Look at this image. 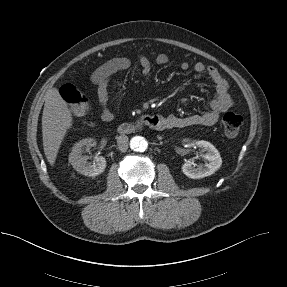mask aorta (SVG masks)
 I'll list each match as a JSON object with an SVG mask.
<instances>
[{
  "label": "aorta",
  "instance_id": "obj_1",
  "mask_svg": "<svg viewBox=\"0 0 287 287\" xmlns=\"http://www.w3.org/2000/svg\"><path fill=\"white\" fill-rule=\"evenodd\" d=\"M130 147L134 151L144 152L148 147V143L144 137L135 136L130 141Z\"/></svg>",
  "mask_w": 287,
  "mask_h": 287
}]
</instances>
